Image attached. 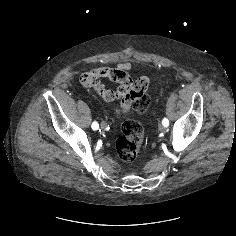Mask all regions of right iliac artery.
Here are the masks:
<instances>
[{"label": "right iliac artery", "mask_w": 236, "mask_h": 236, "mask_svg": "<svg viewBox=\"0 0 236 236\" xmlns=\"http://www.w3.org/2000/svg\"><path fill=\"white\" fill-rule=\"evenodd\" d=\"M92 129L93 130H98V128H99V125H98V123L96 122V121H94L93 123H92Z\"/></svg>", "instance_id": "82829eb1"}]
</instances>
